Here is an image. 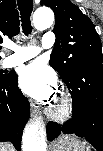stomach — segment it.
Segmentation results:
<instances>
[{"label":"stomach","mask_w":103,"mask_h":151,"mask_svg":"<svg viewBox=\"0 0 103 151\" xmlns=\"http://www.w3.org/2000/svg\"><path fill=\"white\" fill-rule=\"evenodd\" d=\"M52 151H87L83 142L69 135L60 136L52 145Z\"/></svg>","instance_id":"1"}]
</instances>
